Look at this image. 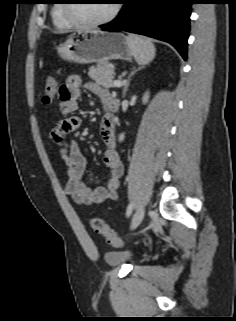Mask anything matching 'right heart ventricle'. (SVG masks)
<instances>
[{
  "label": "right heart ventricle",
  "mask_w": 236,
  "mask_h": 321,
  "mask_svg": "<svg viewBox=\"0 0 236 321\" xmlns=\"http://www.w3.org/2000/svg\"><path fill=\"white\" fill-rule=\"evenodd\" d=\"M59 3L55 4L52 8L51 17L53 24L59 29H68L74 26V24L68 20L64 14V0H59Z\"/></svg>",
  "instance_id": "e07e8e85"
}]
</instances>
